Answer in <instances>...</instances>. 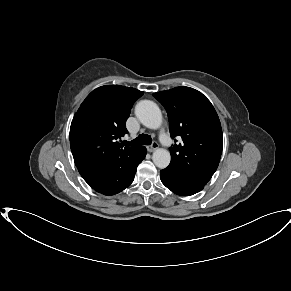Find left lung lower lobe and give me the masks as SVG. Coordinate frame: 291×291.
Instances as JSON below:
<instances>
[{
    "mask_svg": "<svg viewBox=\"0 0 291 291\" xmlns=\"http://www.w3.org/2000/svg\"><path fill=\"white\" fill-rule=\"evenodd\" d=\"M160 178L169 190L181 196L196 194L206 185L205 182L193 179L171 166L160 171Z\"/></svg>",
    "mask_w": 291,
    "mask_h": 291,
    "instance_id": "left-lung-lower-lobe-1",
    "label": "left lung lower lobe"
}]
</instances>
